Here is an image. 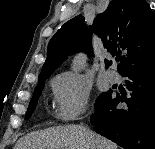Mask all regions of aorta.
<instances>
[{"mask_svg":"<svg viewBox=\"0 0 155 149\" xmlns=\"http://www.w3.org/2000/svg\"><path fill=\"white\" fill-rule=\"evenodd\" d=\"M84 65V57L83 55H78L72 62L71 69L73 72H80Z\"/></svg>","mask_w":155,"mask_h":149,"instance_id":"762f6f07","label":"aorta"}]
</instances>
